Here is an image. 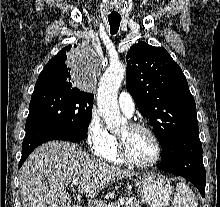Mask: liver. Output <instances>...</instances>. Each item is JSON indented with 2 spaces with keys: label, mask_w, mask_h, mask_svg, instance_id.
Wrapping results in <instances>:
<instances>
[{
  "label": "liver",
  "mask_w": 220,
  "mask_h": 207,
  "mask_svg": "<svg viewBox=\"0 0 220 207\" xmlns=\"http://www.w3.org/2000/svg\"><path fill=\"white\" fill-rule=\"evenodd\" d=\"M134 175L98 160L76 144L52 141L36 148L25 161L19 187L23 207H70L65 188L72 181H79L80 193L95 196L110 183Z\"/></svg>",
  "instance_id": "obj_1"
}]
</instances>
